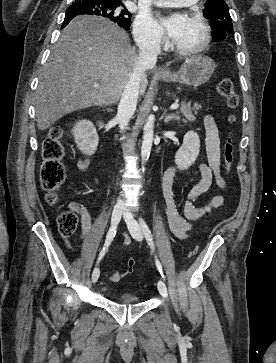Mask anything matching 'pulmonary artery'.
Listing matches in <instances>:
<instances>
[{"label": "pulmonary artery", "mask_w": 276, "mask_h": 363, "mask_svg": "<svg viewBox=\"0 0 276 363\" xmlns=\"http://www.w3.org/2000/svg\"><path fill=\"white\" fill-rule=\"evenodd\" d=\"M196 0H155V4L164 7H182L195 3Z\"/></svg>", "instance_id": "e3ab8cb5"}]
</instances>
